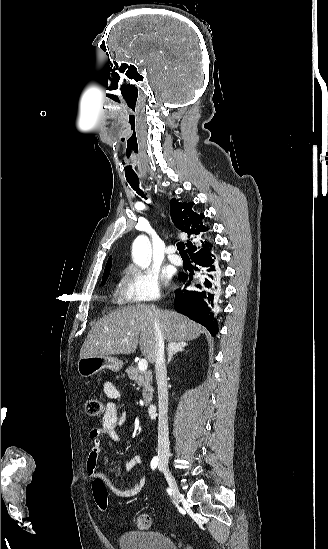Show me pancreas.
Listing matches in <instances>:
<instances>
[{"instance_id": "1", "label": "pancreas", "mask_w": 328, "mask_h": 549, "mask_svg": "<svg viewBox=\"0 0 328 549\" xmlns=\"http://www.w3.org/2000/svg\"><path fill=\"white\" fill-rule=\"evenodd\" d=\"M126 373L131 381H135L137 385H142V387H144L143 399L145 405H150L154 391L152 387L153 375L151 371H139L138 367H128Z\"/></svg>"}]
</instances>
